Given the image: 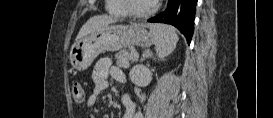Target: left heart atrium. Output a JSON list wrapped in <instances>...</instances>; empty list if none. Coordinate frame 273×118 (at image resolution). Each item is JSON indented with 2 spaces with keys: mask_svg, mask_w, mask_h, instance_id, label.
<instances>
[{
  "mask_svg": "<svg viewBox=\"0 0 273 118\" xmlns=\"http://www.w3.org/2000/svg\"><path fill=\"white\" fill-rule=\"evenodd\" d=\"M158 0H152V2H157Z\"/></svg>",
  "mask_w": 273,
  "mask_h": 118,
  "instance_id": "left-heart-atrium-1",
  "label": "left heart atrium"
}]
</instances>
